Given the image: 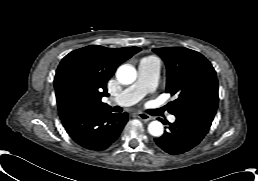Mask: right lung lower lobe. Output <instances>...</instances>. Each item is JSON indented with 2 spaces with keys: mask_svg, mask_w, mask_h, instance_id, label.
Masks as SVG:
<instances>
[{
  "mask_svg": "<svg viewBox=\"0 0 258 181\" xmlns=\"http://www.w3.org/2000/svg\"><path fill=\"white\" fill-rule=\"evenodd\" d=\"M71 138L83 148L102 151L120 135L128 114H113L110 108H82L60 116Z\"/></svg>",
  "mask_w": 258,
  "mask_h": 181,
  "instance_id": "right-lung-lower-lobe-1",
  "label": "right lung lower lobe"
}]
</instances>
